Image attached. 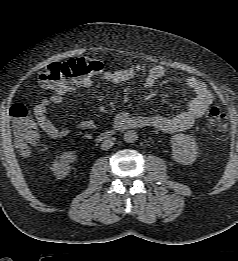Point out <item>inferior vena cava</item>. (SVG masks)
<instances>
[{
  "label": "inferior vena cava",
  "instance_id": "1",
  "mask_svg": "<svg viewBox=\"0 0 238 261\" xmlns=\"http://www.w3.org/2000/svg\"><path fill=\"white\" fill-rule=\"evenodd\" d=\"M114 142H115V138L105 139L101 144V149L108 150L109 148H111L114 145Z\"/></svg>",
  "mask_w": 238,
  "mask_h": 261
}]
</instances>
